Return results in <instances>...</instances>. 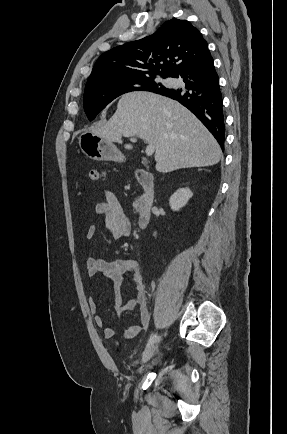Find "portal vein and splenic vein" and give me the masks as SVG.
I'll return each instance as SVG.
<instances>
[{"instance_id":"obj_1","label":"portal vein and splenic vein","mask_w":287,"mask_h":434,"mask_svg":"<svg viewBox=\"0 0 287 434\" xmlns=\"http://www.w3.org/2000/svg\"><path fill=\"white\" fill-rule=\"evenodd\" d=\"M134 135L135 134L132 132H125L124 133V136H127V137H133ZM154 151H155V146L152 144H149L145 149V153L147 156H151L154 153Z\"/></svg>"}]
</instances>
